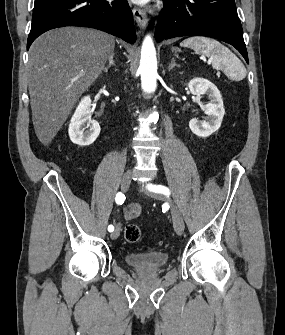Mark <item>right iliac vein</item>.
Here are the masks:
<instances>
[{
    "instance_id": "1",
    "label": "right iliac vein",
    "mask_w": 285,
    "mask_h": 335,
    "mask_svg": "<svg viewBox=\"0 0 285 335\" xmlns=\"http://www.w3.org/2000/svg\"><path fill=\"white\" fill-rule=\"evenodd\" d=\"M131 185V174L129 172L125 173L124 176L121 179V189L122 191L126 192L128 191L129 187ZM120 234V227L119 225L116 226L113 233H111V239L115 240L119 237Z\"/></svg>"
}]
</instances>
